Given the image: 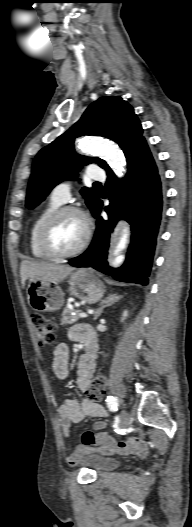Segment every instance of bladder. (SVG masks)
Segmentation results:
<instances>
[{"label": "bladder", "mask_w": 192, "mask_h": 527, "mask_svg": "<svg viewBox=\"0 0 192 527\" xmlns=\"http://www.w3.org/2000/svg\"><path fill=\"white\" fill-rule=\"evenodd\" d=\"M80 463L99 473L113 469L118 460L112 456L90 453L81 458Z\"/></svg>", "instance_id": "bladder-1"}]
</instances>
